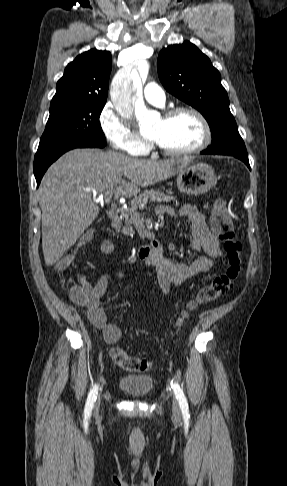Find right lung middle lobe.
Returning a JSON list of instances; mask_svg holds the SVG:
<instances>
[{"label": "right lung middle lobe", "mask_w": 287, "mask_h": 486, "mask_svg": "<svg viewBox=\"0 0 287 486\" xmlns=\"http://www.w3.org/2000/svg\"><path fill=\"white\" fill-rule=\"evenodd\" d=\"M106 101L86 100L50 107V116L37 153L71 145L104 147L99 117Z\"/></svg>", "instance_id": "dd1d6c3e"}]
</instances>
